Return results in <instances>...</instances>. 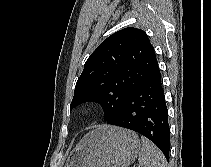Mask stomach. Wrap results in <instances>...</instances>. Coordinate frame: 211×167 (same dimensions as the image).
Listing matches in <instances>:
<instances>
[{"label": "stomach", "instance_id": "1", "mask_svg": "<svg viewBox=\"0 0 211 167\" xmlns=\"http://www.w3.org/2000/svg\"><path fill=\"white\" fill-rule=\"evenodd\" d=\"M140 149L135 132L115 126L99 127L83 137L64 167H128Z\"/></svg>", "mask_w": 211, "mask_h": 167}]
</instances>
